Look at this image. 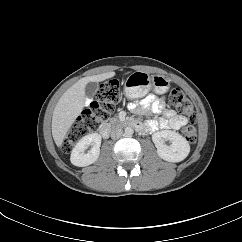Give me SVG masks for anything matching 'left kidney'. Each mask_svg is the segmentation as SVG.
I'll return each instance as SVG.
<instances>
[{"instance_id":"5707ae66","label":"left kidney","mask_w":242,"mask_h":242,"mask_svg":"<svg viewBox=\"0 0 242 242\" xmlns=\"http://www.w3.org/2000/svg\"><path fill=\"white\" fill-rule=\"evenodd\" d=\"M152 140L157 148L158 156L169 162H180L190 152L188 141L175 131L163 130L156 132L152 135ZM166 140L171 142L169 146L165 144Z\"/></svg>"}]
</instances>
